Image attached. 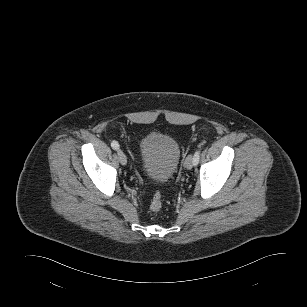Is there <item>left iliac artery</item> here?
<instances>
[{
    "label": "left iliac artery",
    "instance_id": "obj_1",
    "mask_svg": "<svg viewBox=\"0 0 307 307\" xmlns=\"http://www.w3.org/2000/svg\"><path fill=\"white\" fill-rule=\"evenodd\" d=\"M200 150H197L193 156V165L196 166L199 163Z\"/></svg>",
    "mask_w": 307,
    "mask_h": 307
}]
</instances>
